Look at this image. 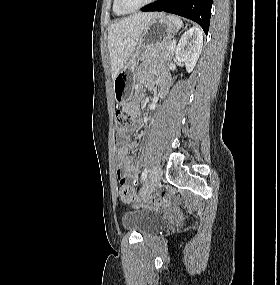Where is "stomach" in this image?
<instances>
[{"mask_svg":"<svg viewBox=\"0 0 280 285\" xmlns=\"http://www.w3.org/2000/svg\"><path fill=\"white\" fill-rule=\"evenodd\" d=\"M177 30L178 27L174 22L164 15L158 14L149 21L135 51L113 81L114 97L117 103L125 104L133 95L132 81L141 52L150 46L170 40Z\"/></svg>","mask_w":280,"mask_h":285,"instance_id":"stomach-1","label":"stomach"}]
</instances>
